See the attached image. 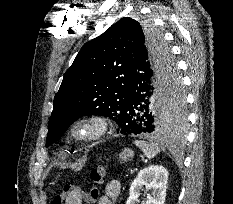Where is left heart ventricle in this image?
<instances>
[{"instance_id": "obj_1", "label": "left heart ventricle", "mask_w": 233, "mask_h": 204, "mask_svg": "<svg viewBox=\"0 0 233 204\" xmlns=\"http://www.w3.org/2000/svg\"><path fill=\"white\" fill-rule=\"evenodd\" d=\"M85 132H86V131H84V130H81V131H80V134H84Z\"/></svg>"}]
</instances>
